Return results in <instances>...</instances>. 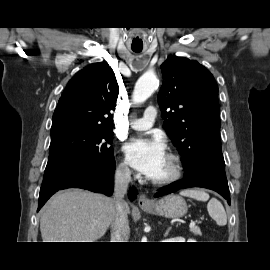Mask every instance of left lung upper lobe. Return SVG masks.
I'll use <instances>...</instances> for the list:
<instances>
[{"mask_svg": "<svg viewBox=\"0 0 270 270\" xmlns=\"http://www.w3.org/2000/svg\"><path fill=\"white\" fill-rule=\"evenodd\" d=\"M163 84L158 103L164 129L177 147L185 170L208 158L223 159L218 87L201 64L172 56L161 65Z\"/></svg>", "mask_w": 270, "mask_h": 270, "instance_id": "left-lung-upper-lobe-1", "label": "left lung upper lobe"}]
</instances>
